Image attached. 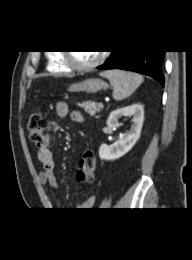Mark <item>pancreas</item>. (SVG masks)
<instances>
[{
	"instance_id": "pancreas-1",
	"label": "pancreas",
	"mask_w": 192,
	"mask_h": 260,
	"mask_svg": "<svg viewBox=\"0 0 192 260\" xmlns=\"http://www.w3.org/2000/svg\"><path fill=\"white\" fill-rule=\"evenodd\" d=\"M77 105L84 109V111L90 116L96 115V113L100 112L103 109V107H99L96 103L91 101L78 103Z\"/></svg>"
}]
</instances>
